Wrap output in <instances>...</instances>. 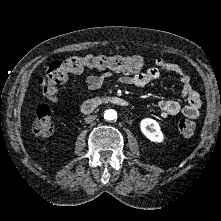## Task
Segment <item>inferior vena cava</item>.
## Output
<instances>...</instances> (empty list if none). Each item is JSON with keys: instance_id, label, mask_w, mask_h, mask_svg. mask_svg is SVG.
Masks as SVG:
<instances>
[{"instance_id": "inferior-vena-cava-1", "label": "inferior vena cava", "mask_w": 221, "mask_h": 221, "mask_svg": "<svg viewBox=\"0 0 221 221\" xmlns=\"http://www.w3.org/2000/svg\"><path fill=\"white\" fill-rule=\"evenodd\" d=\"M96 119V115H89L85 118L86 123H91Z\"/></svg>"}]
</instances>
